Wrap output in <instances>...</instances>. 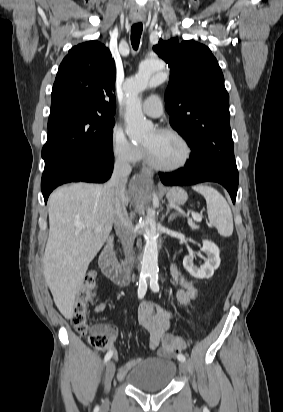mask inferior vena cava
Masks as SVG:
<instances>
[{
	"label": "inferior vena cava",
	"instance_id": "obj_1",
	"mask_svg": "<svg viewBox=\"0 0 283 412\" xmlns=\"http://www.w3.org/2000/svg\"><path fill=\"white\" fill-rule=\"evenodd\" d=\"M130 173L131 166L129 162L123 158H117L114 164L112 176L108 182V186L114 190V227L121 240L125 257L129 262L133 253L135 233L125 207L124 187Z\"/></svg>",
	"mask_w": 283,
	"mask_h": 412
}]
</instances>
